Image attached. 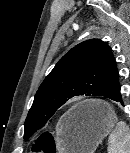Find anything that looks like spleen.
<instances>
[{"label": "spleen", "mask_w": 130, "mask_h": 153, "mask_svg": "<svg viewBox=\"0 0 130 153\" xmlns=\"http://www.w3.org/2000/svg\"><path fill=\"white\" fill-rule=\"evenodd\" d=\"M108 153H130V132L124 121L117 122L109 135Z\"/></svg>", "instance_id": "spleen-1"}]
</instances>
